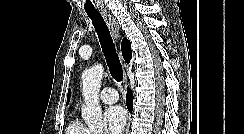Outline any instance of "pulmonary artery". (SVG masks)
Returning a JSON list of instances; mask_svg holds the SVG:
<instances>
[{
	"label": "pulmonary artery",
	"instance_id": "1",
	"mask_svg": "<svg viewBox=\"0 0 244 134\" xmlns=\"http://www.w3.org/2000/svg\"><path fill=\"white\" fill-rule=\"evenodd\" d=\"M100 100L105 104H113L118 101V93L114 88H104L100 93Z\"/></svg>",
	"mask_w": 244,
	"mask_h": 134
}]
</instances>
